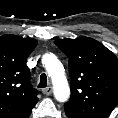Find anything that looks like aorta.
I'll return each instance as SVG.
<instances>
[{
    "instance_id": "762f6f07",
    "label": "aorta",
    "mask_w": 118,
    "mask_h": 118,
    "mask_svg": "<svg viewBox=\"0 0 118 118\" xmlns=\"http://www.w3.org/2000/svg\"><path fill=\"white\" fill-rule=\"evenodd\" d=\"M43 64L52 80L54 97L59 102H66L70 97V87L62 63L54 54H45Z\"/></svg>"
}]
</instances>
